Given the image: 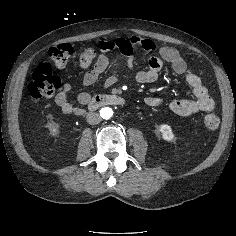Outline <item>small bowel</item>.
I'll return each instance as SVG.
<instances>
[{
  "mask_svg": "<svg viewBox=\"0 0 236 236\" xmlns=\"http://www.w3.org/2000/svg\"><path fill=\"white\" fill-rule=\"evenodd\" d=\"M137 46L141 47L146 52L158 53V55L149 59L147 69L139 70L135 73V80L138 83L146 84L155 82L159 77L163 65L168 63L175 73L185 76L186 82L192 88L195 99L173 100L169 104V108L172 112L180 116H192L201 112H209L213 110L215 103L209 95L207 88L203 85L201 79L196 74L188 70L185 60L181 57L177 50L171 47H158L153 40L142 39L137 36L100 41L98 44L99 55L92 69L88 70L83 75V86L87 87L93 85L107 70L110 63L108 57V53L110 51H119L123 54L127 58L128 67L132 69L134 65L133 51ZM117 81V76L111 75L106 78L102 87L109 88L116 84ZM70 91L71 85L69 83H65L55 96V103L65 115L83 114V109L80 106L70 102ZM89 97L90 96L87 93L79 94V104L85 105ZM145 103L150 107H157L162 103V100L156 96H148L145 98Z\"/></svg>",
  "mask_w": 236,
  "mask_h": 236,
  "instance_id": "obj_1",
  "label": "small bowel"
}]
</instances>
